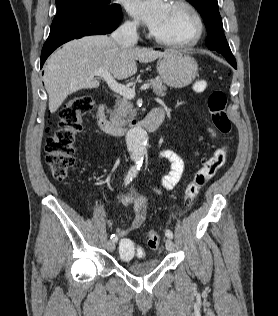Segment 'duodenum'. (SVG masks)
I'll return each mask as SVG.
<instances>
[{
  "label": "duodenum",
  "instance_id": "duodenum-1",
  "mask_svg": "<svg viewBox=\"0 0 278 316\" xmlns=\"http://www.w3.org/2000/svg\"><path fill=\"white\" fill-rule=\"evenodd\" d=\"M96 119L98 126L102 131L111 135H123L129 129L142 128L147 132H155L164 120V111L162 108L157 107L152 109L147 116L138 122H133L129 127H121L114 125L107 116L106 104H100L97 109Z\"/></svg>",
  "mask_w": 278,
  "mask_h": 316
}]
</instances>
